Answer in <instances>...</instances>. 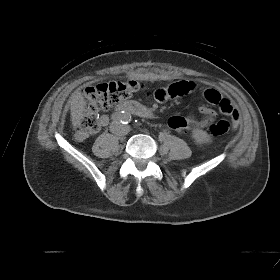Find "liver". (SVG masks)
Returning <instances> with one entry per match:
<instances>
[{
    "label": "liver",
    "mask_w": 280,
    "mask_h": 280,
    "mask_svg": "<svg viewBox=\"0 0 280 280\" xmlns=\"http://www.w3.org/2000/svg\"><path fill=\"white\" fill-rule=\"evenodd\" d=\"M71 121L72 125L76 127L81 119L83 118V113L85 111L86 102L80 91H75L71 97Z\"/></svg>",
    "instance_id": "6515ba94"
}]
</instances>
